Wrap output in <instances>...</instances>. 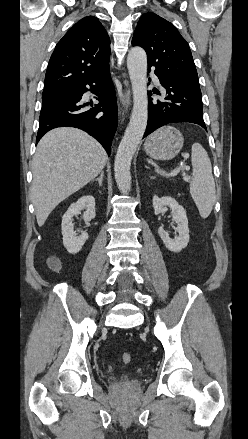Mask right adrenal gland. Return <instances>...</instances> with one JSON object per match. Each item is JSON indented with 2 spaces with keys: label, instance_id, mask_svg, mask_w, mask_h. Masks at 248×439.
Masks as SVG:
<instances>
[{
  "label": "right adrenal gland",
  "instance_id": "right-adrenal-gland-1",
  "mask_svg": "<svg viewBox=\"0 0 248 439\" xmlns=\"http://www.w3.org/2000/svg\"><path fill=\"white\" fill-rule=\"evenodd\" d=\"M103 177H104V171H101L100 176L98 178H95L93 181H98L99 185L102 186Z\"/></svg>",
  "mask_w": 248,
  "mask_h": 439
}]
</instances>
